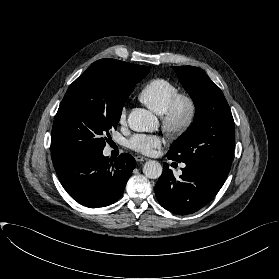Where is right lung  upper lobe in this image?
<instances>
[{
  "label": "right lung upper lobe",
  "instance_id": "right-lung-upper-lobe-1",
  "mask_svg": "<svg viewBox=\"0 0 279 279\" xmlns=\"http://www.w3.org/2000/svg\"><path fill=\"white\" fill-rule=\"evenodd\" d=\"M94 68L104 69L111 77L124 85L137 83L150 71L146 66L126 63L109 58L100 59L94 62L88 69Z\"/></svg>",
  "mask_w": 279,
  "mask_h": 279
}]
</instances>
